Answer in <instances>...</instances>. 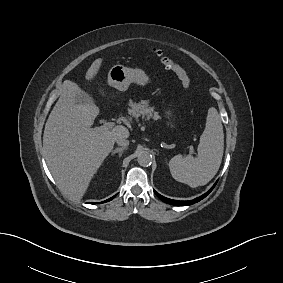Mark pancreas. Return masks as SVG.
<instances>
[{"label": "pancreas", "instance_id": "obj_1", "mask_svg": "<svg viewBox=\"0 0 283 283\" xmlns=\"http://www.w3.org/2000/svg\"><path fill=\"white\" fill-rule=\"evenodd\" d=\"M128 113L135 119L142 117L145 120H158L160 116L154 107H150L148 101H140L138 103L129 101Z\"/></svg>", "mask_w": 283, "mask_h": 283}]
</instances>
